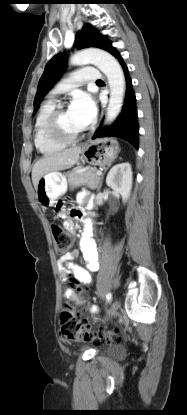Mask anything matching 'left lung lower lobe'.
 I'll use <instances>...</instances> for the list:
<instances>
[{
  "label": "left lung lower lobe",
  "mask_w": 187,
  "mask_h": 415,
  "mask_svg": "<svg viewBox=\"0 0 187 415\" xmlns=\"http://www.w3.org/2000/svg\"><path fill=\"white\" fill-rule=\"evenodd\" d=\"M112 54L121 64L125 77V99L120 115L110 125L102 127V122L99 128L95 131L93 139L99 137H120L129 141L134 147L138 149L139 126L137 122V109L135 106V93L132 89V81L126 64L117 50L111 46L106 49Z\"/></svg>",
  "instance_id": "left-lung-lower-lobe-1"
}]
</instances>
